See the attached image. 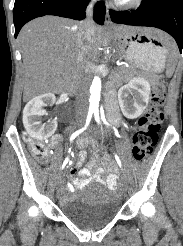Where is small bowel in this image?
<instances>
[{
    "label": "small bowel",
    "mask_w": 183,
    "mask_h": 246,
    "mask_svg": "<svg viewBox=\"0 0 183 246\" xmlns=\"http://www.w3.org/2000/svg\"><path fill=\"white\" fill-rule=\"evenodd\" d=\"M59 140L60 138L58 136H55L52 138L51 143L53 145H56ZM88 145L90 144H86V146ZM85 158L86 153L84 150H81L78 155V160L76 164L70 170L71 174L78 172V177L73 180L72 183L68 184L67 192L72 193L77 189H82L91 182H98L113 189L116 185L117 174L115 172L113 164L109 162V159L105 158L106 162L108 163L110 173L106 176H103L102 173L98 170V161L96 160L93 161L88 167L80 169L81 165L85 161Z\"/></svg>",
    "instance_id": "obj_1"
}]
</instances>
